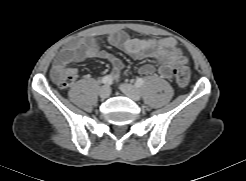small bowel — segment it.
Segmentation results:
<instances>
[{
	"mask_svg": "<svg viewBox=\"0 0 246 181\" xmlns=\"http://www.w3.org/2000/svg\"><path fill=\"white\" fill-rule=\"evenodd\" d=\"M107 42L136 59L149 58L154 60L157 67L151 63H146L139 68V72L143 75L157 72L162 78L170 79L175 66L181 61H186L174 38H132L122 33H111ZM84 57L109 61L115 76H118L124 69L123 61L101 48L98 40L92 36L72 40L55 59L53 69L79 61Z\"/></svg>",
	"mask_w": 246,
	"mask_h": 181,
	"instance_id": "c3829d8e",
	"label": "small bowel"
}]
</instances>
